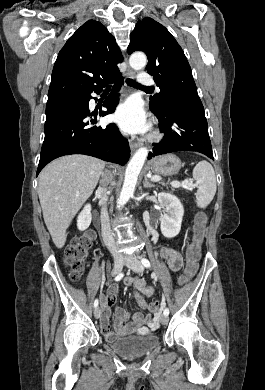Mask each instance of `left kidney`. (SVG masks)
<instances>
[{
	"label": "left kidney",
	"instance_id": "left-kidney-1",
	"mask_svg": "<svg viewBox=\"0 0 265 390\" xmlns=\"http://www.w3.org/2000/svg\"><path fill=\"white\" fill-rule=\"evenodd\" d=\"M158 202L165 208L161 216V232L166 238H173L181 230L184 208L180 200L173 194L161 192L158 194Z\"/></svg>",
	"mask_w": 265,
	"mask_h": 390
}]
</instances>
